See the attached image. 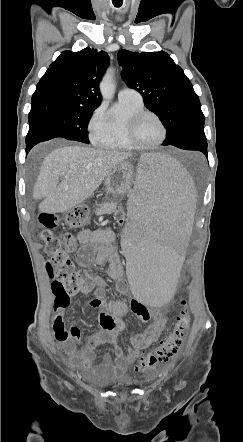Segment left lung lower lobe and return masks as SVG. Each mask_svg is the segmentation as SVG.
I'll use <instances>...</instances> for the list:
<instances>
[{"label": "left lung lower lobe", "mask_w": 243, "mask_h": 442, "mask_svg": "<svg viewBox=\"0 0 243 442\" xmlns=\"http://www.w3.org/2000/svg\"><path fill=\"white\" fill-rule=\"evenodd\" d=\"M170 145L185 150H198L207 157V139L204 133V124H198L190 128L180 138L171 142Z\"/></svg>", "instance_id": "left-lung-lower-lobe-1"}]
</instances>
